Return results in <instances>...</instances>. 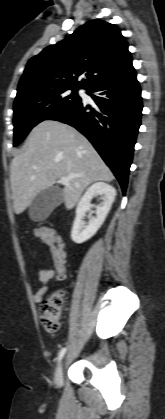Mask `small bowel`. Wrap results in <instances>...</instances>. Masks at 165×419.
<instances>
[{"label": "small bowel", "mask_w": 165, "mask_h": 419, "mask_svg": "<svg viewBox=\"0 0 165 419\" xmlns=\"http://www.w3.org/2000/svg\"><path fill=\"white\" fill-rule=\"evenodd\" d=\"M36 235L41 240L45 241V238L38 231L36 232ZM55 274L56 270L54 268H45L38 272L37 281L40 284V288L33 296L35 303L39 304L43 300V297L49 292V290L60 285V283H56L53 286L49 285V282L55 276Z\"/></svg>", "instance_id": "obj_1"}]
</instances>
